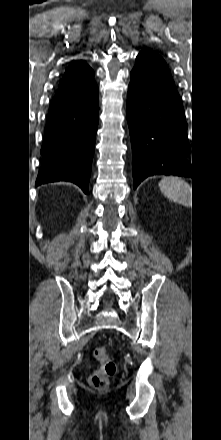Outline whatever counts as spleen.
<instances>
[{
    "instance_id": "obj_1",
    "label": "spleen",
    "mask_w": 221,
    "mask_h": 440,
    "mask_svg": "<svg viewBox=\"0 0 221 440\" xmlns=\"http://www.w3.org/2000/svg\"><path fill=\"white\" fill-rule=\"evenodd\" d=\"M159 188L164 196L179 204H191V186L183 179L174 176L164 177L159 182Z\"/></svg>"
}]
</instances>
